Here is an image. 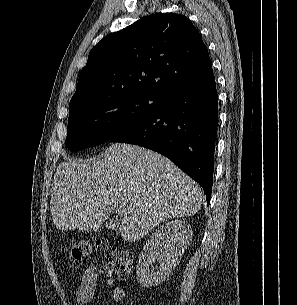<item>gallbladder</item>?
Listing matches in <instances>:
<instances>
[{"instance_id":"gallbladder-1","label":"gallbladder","mask_w":297,"mask_h":305,"mask_svg":"<svg viewBox=\"0 0 297 305\" xmlns=\"http://www.w3.org/2000/svg\"><path fill=\"white\" fill-rule=\"evenodd\" d=\"M119 227V222L111 220L109 222H107L106 224V228L110 229V230H115Z\"/></svg>"}]
</instances>
